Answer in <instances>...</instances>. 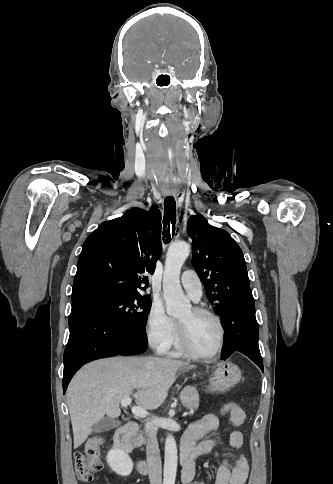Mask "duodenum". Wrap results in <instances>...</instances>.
<instances>
[{
  "mask_svg": "<svg viewBox=\"0 0 333 484\" xmlns=\"http://www.w3.org/2000/svg\"><path fill=\"white\" fill-rule=\"evenodd\" d=\"M138 425L135 422H127L122 427L118 428L114 435L115 447L126 453H130L135 448L134 436L137 432ZM180 462L183 469L186 468L192 461L194 456V445L190 442L182 440L180 446ZM138 471L142 474L147 473L148 469L144 462L138 464Z\"/></svg>",
  "mask_w": 333,
  "mask_h": 484,
  "instance_id": "1",
  "label": "duodenum"
}]
</instances>
